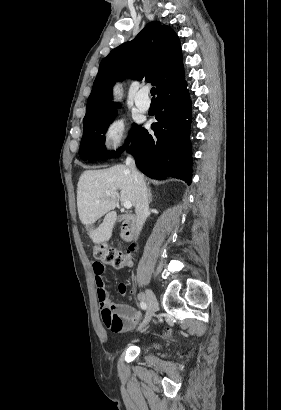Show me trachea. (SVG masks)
<instances>
[{"label":"trachea","mask_w":281,"mask_h":410,"mask_svg":"<svg viewBox=\"0 0 281 410\" xmlns=\"http://www.w3.org/2000/svg\"><path fill=\"white\" fill-rule=\"evenodd\" d=\"M150 93H151V95H152V97H153V99H154V98H155V88H154V87L151 88Z\"/></svg>","instance_id":"3493384b"}]
</instances>
